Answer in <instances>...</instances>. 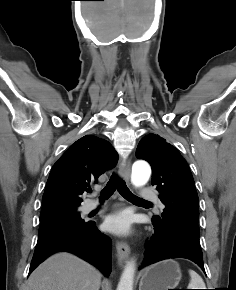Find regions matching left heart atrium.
I'll use <instances>...</instances> for the list:
<instances>
[{"label": "left heart atrium", "mask_w": 236, "mask_h": 290, "mask_svg": "<svg viewBox=\"0 0 236 290\" xmlns=\"http://www.w3.org/2000/svg\"><path fill=\"white\" fill-rule=\"evenodd\" d=\"M132 219L126 211H119L109 215L105 220V227L115 234H128L131 230Z\"/></svg>", "instance_id": "39dd6f15"}]
</instances>
